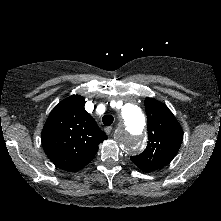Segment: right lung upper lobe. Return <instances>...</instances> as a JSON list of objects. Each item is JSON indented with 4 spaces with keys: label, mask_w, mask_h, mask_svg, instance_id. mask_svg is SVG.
Instances as JSON below:
<instances>
[{
    "label": "right lung upper lobe",
    "mask_w": 221,
    "mask_h": 221,
    "mask_svg": "<svg viewBox=\"0 0 221 221\" xmlns=\"http://www.w3.org/2000/svg\"><path fill=\"white\" fill-rule=\"evenodd\" d=\"M84 98L72 95L51 111L42 130V145L48 158L60 169L78 171L87 165L107 139L84 108Z\"/></svg>",
    "instance_id": "right-lung-upper-lobe-1"
}]
</instances>
